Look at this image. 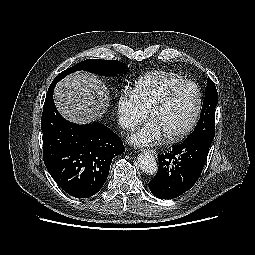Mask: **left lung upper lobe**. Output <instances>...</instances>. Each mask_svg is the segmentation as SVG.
Instances as JSON below:
<instances>
[{
  "instance_id": "obj_1",
  "label": "left lung upper lobe",
  "mask_w": 255,
  "mask_h": 255,
  "mask_svg": "<svg viewBox=\"0 0 255 255\" xmlns=\"http://www.w3.org/2000/svg\"><path fill=\"white\" fill-rule=\"evenodd\" d=\"M217 102L218 97L216 86L211 79H208L201 116L194 131L190 135L199 133L204 130L215 131V107Z\"/></svg>"
}]
</instances>
